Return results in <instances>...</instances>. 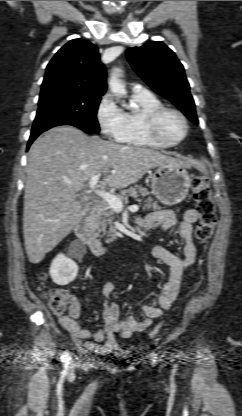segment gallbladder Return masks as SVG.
<instances>
[{"label": "gallbladder", "instance_id": "obj_1", "mask_svg": "<svg viewBox=\"0 0 242 416\" xmlns=\"http://www.w3.org/2000/svg\"><path fill=\"white\" fill-rule=\"evenodd\" d=\"M78 201L81 203L82 207H85L86 201L82 200L81 198H78Z\"/></svg>", "mask_w": 242, "mask_h": 416}]
</instances>
